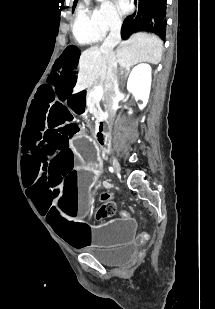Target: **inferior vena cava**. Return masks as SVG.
I'll return each instance as SVG.
<instances>
[{"instance_id":"inferior-vena-cava-1","label":"inferior vena cava","mask_w":215,"mask_h":309,"mask_svg":"<svg viewBox=\"0 0 215 309\" xmlns=\"http://www.w3.org/2000/svg\"><path fill=\"white\" fill-rule=\"evenodd\" d=\"M122 20L121 18H114L110 26V34L105 38L100 46V50L105 52L107 72L104 80L105 92L104 98L106 102L107 118L109 124H112L116 110L118 108V102L120 100L119 94V82H118V70H117V58L113 50L114 46H117L121 40Z\"/></svg>"}]
</instances>
